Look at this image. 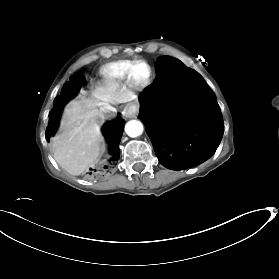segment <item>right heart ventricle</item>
<instances>
[{"label":"right heart ventricle","instance_id":"e07e8e85","mask_svg":"<svg viewBox=\"0 0 279 279\" xmlns=\"http://www.w3.org/2000/svg\"><path fill=\"white\" fill-rule=\"evenodd\" d=\"M130 63V60L115 61L105 65L101 71L109 80H123L127 76Z\"/></svg>","mask_w":279,"mask_h":279}]
</instances>
